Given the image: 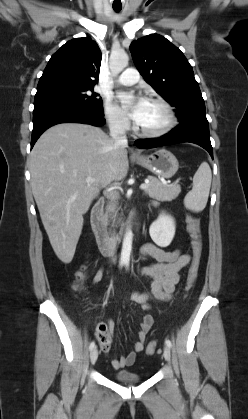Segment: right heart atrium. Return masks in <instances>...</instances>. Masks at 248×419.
Wrapping results in <instances>:
<instances>
[{"label":"right heart atrium","mask_w":248,"mask_h":419,"mask_svg":"<svg viewBox=\"0 0 248 419\" xmlns=\"http://www.w3.org/2000/svg\"><path fill=\"white\" fill-rule=\"evenodd\" d=\"M104 115L108 125L119 133H125L130 128V121L121 109L110 99L104 103Z\"/></svg>","instance_id":"right-heart-atrium-1"}]
</instances>
